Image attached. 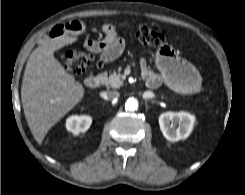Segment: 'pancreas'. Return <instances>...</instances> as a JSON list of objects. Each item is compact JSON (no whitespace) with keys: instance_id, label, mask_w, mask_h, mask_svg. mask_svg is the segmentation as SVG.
I'll return each instance as SVG.
<instances>
[{"instance_id":"obj_1","label":"pancreas","mask_w":245,"mask_h":195,"mask_svg":"<svg viewBox=\"0 0 245 195\" xmlns=\"http://www.w3.org/2000/svg\"><path fill=\"white\" fill-rule=\"evenodd\" d=\"M103 83L107 88L111 87L113 89H118L123 85V80L120 73L113 72L109 77L104 75Z\"/></svg>"}]
</instances>
